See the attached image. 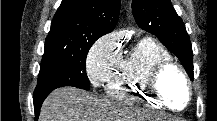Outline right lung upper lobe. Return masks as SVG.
Segmentation results:
<instances>
[{"label": "right lung upper lobe", "instance_id": "cb5924a9", "mask_svg": "<svg viewBox=\"0 0 217 121\" xmlns=\"http://www.w3.org/2000/svg\"><path fill=\"white\" fill-rule=\"evenodd\" d=\"M120 0H63L51 23L50 39L97 40L113 31Z\"/></svg>", "mask_w": 217, "mask_h": 121}]
</instances>
